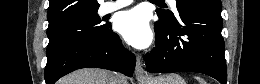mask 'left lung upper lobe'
<instances>
[{"instance_id":"obj_1","label":"left lung upper lobe","mask_w":260,"mask_h":84,"mask_svg":"<svg viewBox=\"0 0 260 84\" xmlns=\"http://www.w3.org/2000/svg\"><path fill=\"white\" fill-rule=\"evenodd\" d=\"M177 2L199 4V5H204V6L218 8V9L222 8V4L220 0H177ZM157 14L167 17L169 19H175L174 14L171 11L158 9Z\"/></svg>"}]
</instances>
